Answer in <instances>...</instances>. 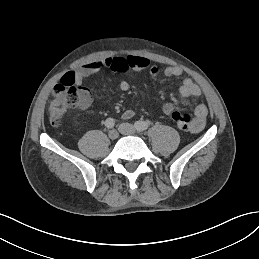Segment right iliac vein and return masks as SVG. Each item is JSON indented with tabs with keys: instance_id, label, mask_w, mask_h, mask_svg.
<instances>
[{
	"instance_id": "1",
	"label": "right iliac vein",
	"mask_w": 259,
	"mask_h": 259,
	"mask_svg": "<svg viewBox=\"0 0 259 259\" xmlns=\"http://www.w3.org/2000/svg\"><path fill=\"white\" fill-rule=\"evenodd\" d=\"M108 136L111 140H115L118 138V132L115 129H113L109 131Z\"/></svg>"
}]
</instances>
